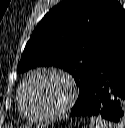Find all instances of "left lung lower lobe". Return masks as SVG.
<instances>
[{"instance_id":"0a47b994","label":"left lung lower lobe","mask_w":125,"mask_h":128,"mask_svg":"<svg viewBox=\"0 0 125 128\" xmlns=\"http://www.w3.org/2000/svg\"><path fill=\"white\" fill-rule=\"evenodd\" d=\"M70 115L125 122V29L93 69Z\"/></svg>"}]
</instances>
